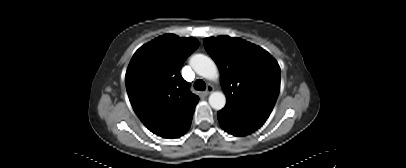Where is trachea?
<instances>
[{
  "mask_svg": "<svg viewBox=\"0 0 406 168\" xmlns=\"http://www.w3.org/2000/svg\"><path fill=\"white\" fill-rule=\"evenodd\" d=\"M194 88H195L196 90L203 91V90L206 89V84H205V82H204L203 80L198 79V80H196L195 83H194Z\"/></svg>",
  "mask_w": 406,
  "mask_h": 168,
  "instance_id": "3493384b",
  "label": "trachea"
}]
</instances>
